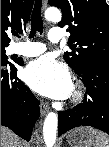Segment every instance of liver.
Segmentation results:
<instances>
[{
    "instance_id": "obj_1",
    "label": "liver",
    "mask_w": 109,
    "mask_h": 147,
    "mask_svg": "<svg viewBox=\"0 0 109 147\" xmlns=\"http://www.w3.org/2000/svg\"><path fill=\"white\" fill-rule=\"evenodd\" d=\"M1 147H22V140L8 128L2 127Z\"/></svg>"
}]
</instances>
